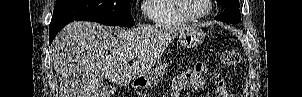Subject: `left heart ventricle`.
Returning <instances> with one entry per match:
<instances>
[{
	"label": "left heart ventricle",
	"mask_w": 302,
	"mask_h": 97,
	"mask_svg": "<svg viewBox=\"0 0 302 97\" xmlns=\"http://www.w3.org/2000/svg\"><path fill=\"white\" fill-rule=\"evenodd\" d=\"M181 5L189 15H199L206 9L205 0H181Z\"/></svg>",
	"instance_id": "b2bd125f"
}]
</instances>
